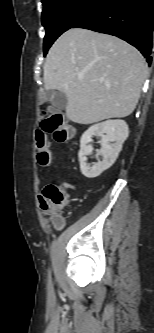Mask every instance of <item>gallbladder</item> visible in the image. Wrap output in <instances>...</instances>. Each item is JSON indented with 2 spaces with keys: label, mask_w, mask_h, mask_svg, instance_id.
<instances>
[{
  "label": "gallbladder",
  "mask_w": 154,
  "mask_h": 333,
  "mask_svg": "<svg viewBox=\"0 0 154 333\" xmlns=\"http://www.w3.org/2000/svg\"><path fill=\"white\" fill-rule=\"evenodd\" d=\"M46 95L51 98V104L57 109H64L67 105V97L61 91H47Z\"/></svg>",
  "instance_id": "gallbladder-1"
}]
</instances>
